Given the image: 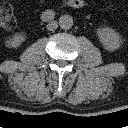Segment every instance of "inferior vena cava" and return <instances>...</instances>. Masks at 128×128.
I'll use <instances>...</instances> for the list:
<instances>
[{
    "mask_svg": "<svg viewBox=\"0 0 128 128\" xmlns=\"http://www.w3.org/2000/svg\"><path fill=\"white\" fill-rule=\"evenodd\" d=\"M57 27H58L57 21H50V22L47 24V26H46V28H47L49 31H53V30L57 29Z\"/></svg>",
    "mask_w": 128,
    "mask_h": 128,
    "instance_id": "1",
    "label": "inferior vena cava"
}]
</instances>
